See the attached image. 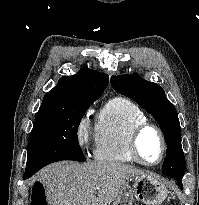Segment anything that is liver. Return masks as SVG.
I'll list each match as a JSON object with an SVG mask.
<instances>
[{"instance_id":"liver-1","label":"liver","mask_w":199,"mask_h":205,"mask_svg":"<svg viewBox=\"0 0 199 205\" xmlns=\"http://www.w3.org/2000/svg\"><path fill=\"white\" fill-rule=\"evenodd\" d=\"M142 174L140 169L123 163L65 161L46 167L38 179L50 205H110L128 179Z\"/></svg>"}]
</instances>
